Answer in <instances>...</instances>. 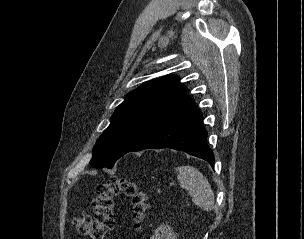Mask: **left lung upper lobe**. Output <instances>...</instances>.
<instances>
[{"instance_id":"left-lung-upper-lobe-1","label":"left lung upper lobe","mask_w":304,"mask_h":239,"mask_svg":"<svg viewBox=\"0 0 304 239\" xmlns=\"http://www.w3.org/2000/svg\"><path fill=\"white\" fill-rule=\"evenodd\" d=\"M194 103L177 76L142 84L128 93L113 113L110 125L93 148L90 163L97 168H112L154 130Z\"/></svg>"}]
</instances>
